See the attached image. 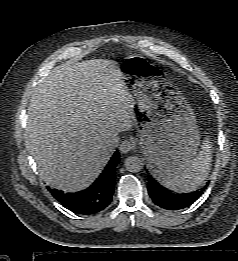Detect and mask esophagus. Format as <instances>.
<instances>
[{"label": "esophagus", "instance_id": "1", "mask_svg": "<svg viewBox=\"0 0 238 261\" xmlns=\"http://www.w3.org/2000/svg\"><path fill=\"white\" fill-rule=\"evenodd\" d=\"M135 147V141L133 139H126L120 145V151L122 153H127Z\"/></svg>", "mask_w": 238, "mask_h": 261}]
</instances>
